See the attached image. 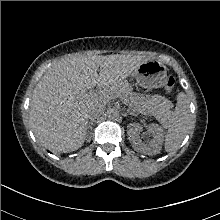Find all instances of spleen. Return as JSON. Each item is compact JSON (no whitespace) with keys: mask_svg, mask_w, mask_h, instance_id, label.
I'll list each match as a JSON object with an SVG mask.
<instances>
[{"mask_svg":"<svg viewBox=\"0 0 220 220\" xmlns=\"http://www.w3.org/2000/svg\"><path fill=\"white\" fill-rule=\"evenodd\" d=\"M190 124L189 102L185 94L178 96L175 111L170 116L167 124L168 131L164 140V147L167 152H175L187 135Z\"/></svg>","mask_w":220,"mask_h":220,"instance_id":"spleen-1","label":"spleen"}]
</instances>
